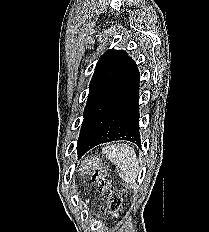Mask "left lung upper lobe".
<instances>
[{
	"label": "left lung upper lobe",
	"instance_id": "1",
	"mask_svg": "<svg viewBox=\"0 0 209 232\" xmlns=\"http://www.w3.org/2000/svg\"><path fill=\"white\" fill-rule=\"evenodd\" d=\"M134 63L124 50L111 49L100 57L90 82L84 118L92 108L114 93L123 83Z\"/></svg>",
	"mask_w": 209,
	"mask_h": 232
}]
</instances>
